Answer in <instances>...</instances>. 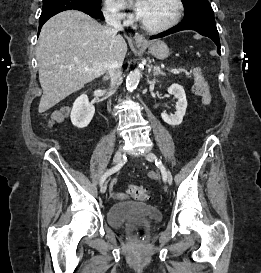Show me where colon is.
Wrapping results in <instances>:
<instances>
[{"mask_svg": "<svg viewBox=\"0 0 261 273\" xmlns=\"http://www.w3.org/2000/svg\"><path fill=\"white\" fill-rule=\"evenodd\" d=\"M195 85L194 89L198 96H200L205 104L211 103V95L209 93L207 82L205 81L202 72L199 68L195 69ZM128 193L138 201H146L149 199V193L146 189L140 186L131 185L128 187ZM141 235L142 231H138Z\"/></svg>", "mask_w": 261, "mask_h": 273, "instance_id": "1", "label": "colon"}]
</instances>
